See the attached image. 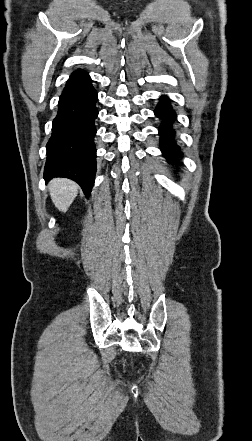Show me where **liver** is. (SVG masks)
<instances>
[{
    "instance_id": "liver-1",
    "label": "liver",
    "mask_w": 252,
    "mask_h": 441,
    "mask_svg": "<svg viewBox=\"0 0 252 441\" xmlns=\"http://www.w3.org/2000/svg\"><path fill=\"white\" fill-rule=\"evenodd\" d=\"M79 186L72 180L55 178L49 183V191L54 205L66 212L78 194Z\"/></svg>"
}]
</instances>
